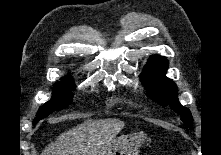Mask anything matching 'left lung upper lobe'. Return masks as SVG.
Listing matches in <instances>:
<instances>
[{
  "mask_svg": "<svg viewBox=\"0 0 221 155\" xmlns=\"http://www.w3.org/2000/svg\"><path fill=\"white\" fill-rule=\"evenodd\" d=\"M167 66L168 61L165 57L150 58L141 75V81L149 90L148 95L152 99L163 106L169 105L186 125L191 126L193 118L190 110L179 103L176 84L165 76Z\"/></svg>",
  "mask_w": 221,
  "mask_h": 155,
  "instance_id": "left-lung-upper-lobe-1",
  "label": "left lung upper lobe"
}]
</instances>
